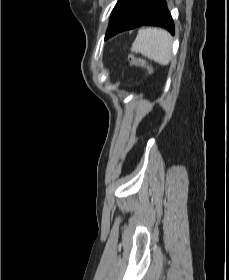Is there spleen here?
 <instances>
[{
  "mask_svg": "<svg viewBox=\"0 0 229 280\" xmlns=\"http://www.w3.org/2000/svg\"><path fill=\"white\" fill-rule=\"evenodd\" d=\"M172 37L162 29H141L132 44L131 51L141 53L161 65H168L171 60Z\"/></svg>",
  "mask_w": 229,
  "mask_h": 280,
  "instance_id": "obj_1",
  "label": "spleen"
}]
</instances>
